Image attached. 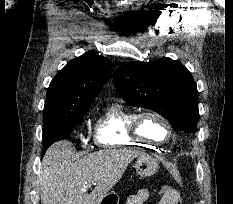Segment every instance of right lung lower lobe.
Segmentation results:
<instances>
[{"label": "right lung lower lobe", "instance_id": "right-lung-lower-lobe-1", "mask_svg": "<svg viewBox=\"0 0 233 204\" xmlns=\"http://www.w3.org/2000/svg\"><path fill=\"white\" fill-rule=\"evenodd\" d=\"M46 150H47V148H44V149H43L42 156L44 155V153H45Z\"/></svg>", "mask_w": 233, "mask_h": 204}]
</instances>
